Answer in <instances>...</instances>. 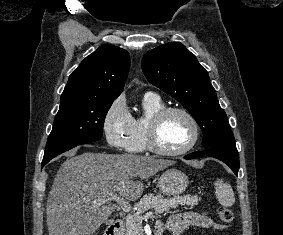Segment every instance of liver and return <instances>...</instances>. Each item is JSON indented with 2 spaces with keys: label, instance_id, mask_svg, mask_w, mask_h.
Here are the masks:
<instances>
[{
  "label": "liver",
  "instance_id": "obj_1",
  "mask_svg": "<svg viewBox=\"0 0 283 235\" xmlns=\"http://www.w3.org/2000/svg\"><path fill=\"white\" fill-rule=\"evenodd\" d=\"M75 153L68 154L48 195L49 235H93L115 211L109 198L137 200L143 193L142 180L175 163L134 154ZM137 177L140 180H134Z\"/></svg>",
  "mask_w": 283,
  "mask_h": 235
}]
</instances>
